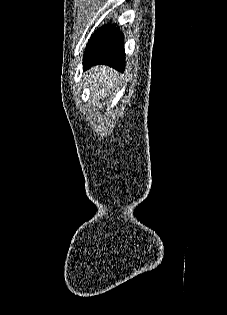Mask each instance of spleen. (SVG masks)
<instances>
[{
	"label": "spleen",
	"instance_id": "spleen-1",
	"mask_svg": "<svg viewBox=\"0 0 227 315\" xmlns=\"http://www.w3.org/2000/svg\"><path fill=\"white\" fill-rule=\"evenodd\" d=\"M95 74V76H92L93 94L98 98H105L110 91L116 89L118 83L117 75L105 67L95 69Z\"/></svg>",
	"mask_w": 227,
	"mask_h": 315
}]
</instances>
